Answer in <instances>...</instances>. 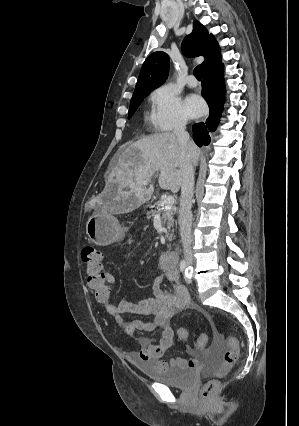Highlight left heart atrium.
Here are the masks:
<instances>
[{"mask_svg": "<svg viewBox=\"0 0 299 426\" xmlns=\"http://www.w3.org/2000/svg\"><path fill=\"white\" fill-rule=\"evenodd\" d=\"M186 108L191 117H197L204 112L205 105L200 97L191 95L186 100Z\"/></svg>", "mask_w": 299, "mask_h": 426, "instance_id": "obj_1", "label": "left heart atrium"}]
</instances>
